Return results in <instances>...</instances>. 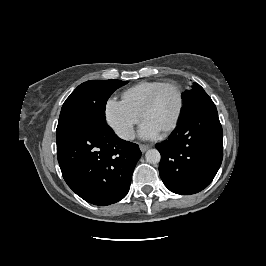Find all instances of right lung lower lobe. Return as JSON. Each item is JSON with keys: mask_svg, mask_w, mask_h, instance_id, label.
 I'll use <instances>...</instances> for the list:
<instances>
[{"mask_svg": "<svg viewBox=\"0 0 266 266\" xmlns=\"http://www.w3.org/2000/svg\"><path fill=\"white\" fill-rule=\"evenodd\" d=\"M139 146L120 139L106 123L89 126L57 145L65 182L82 199L106 206L129 191Z\"/></svg>", "mask_w": 266, "mask_h": 266, "instance_id": "98d812e1", "label": "right lung lower lobe"}]
</instances>
